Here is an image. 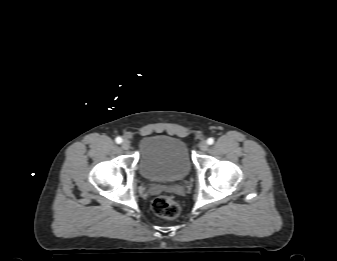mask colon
I'll return each instance as SVG.
<instances>
[{
	"label": "colon",
	"mask_w": 337,
	"mask_h": 261,
	"mask_svg": "<svg viewBox=\"0 0 337 261\" xmlns=\"http://www.w3.org/2000/svg\"><path fill=\"white\" fill-rule=\"evenodd\" d=\"M153 212L165 219H174L179 214V205L177 201L169 195H159L152 201Z\"/></svg>",
	"instance_id": "1"
}]
</instances>
